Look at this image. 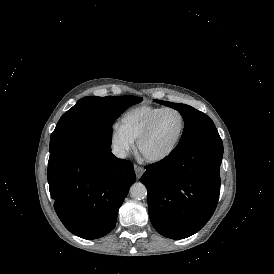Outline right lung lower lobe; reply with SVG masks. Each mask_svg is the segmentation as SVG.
I'll use <instances>...</instances> for the list:
<instances>
[{"label": "right lung lower lobe", "instance_id": "1", "mask_svg": "<svg viewBox=\"0 0 274 274\" xmlns=\"http://www.w3.org/2000/svg\"><path fill=\"white\" fill-rule=\"evenodd\" d=\"M112 131L98 130L50 152L48 182L55 211L73 234L97 239L116 225L135 182L133 164L111 153Z\"/></svg>", "mask_w": 274, "mask_h": 274}]
</instances>
